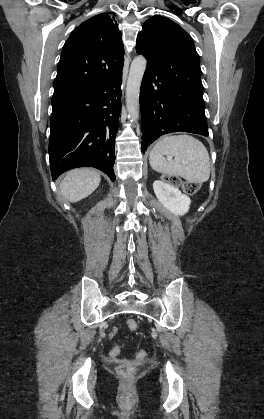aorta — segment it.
I'll return each instance as SVG.
<instances>
[{"label":"aorta","mask_w":264,"mask_h":419,"mask_svg":"<svg viewBox=\"0 0 264 419\" xmlns=\"http://www.w3.org/2000/svg\"><path fill=\"white\" fill-rule=\"evenodd\" d=\"M147 61L140 55L133 59L129 71L126 87V106L130 120L135 122L139 118V93L141 81L146 69Z\"/></svg>","instance_id":"1"}]
</instances>
